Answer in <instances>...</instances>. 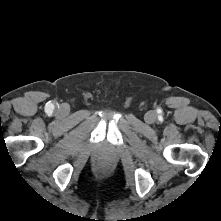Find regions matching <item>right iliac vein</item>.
<instances>
[{"label":"right iliac vein","mask_w":221,"mask_h":221,"mask_svg":"<svg viewBox=\"0 0 221 221\" xmlns=\"http://www.w3.org/2000/svg\"><path fill=\"white\" fill-rule=\"evenodd\" d=\"M58 113L61 115V116H66L69 114V108L67 105L63 104L60 106L59 110H58Z\"/></svg>","instance_id":"63e3f726"}]
</instances>
